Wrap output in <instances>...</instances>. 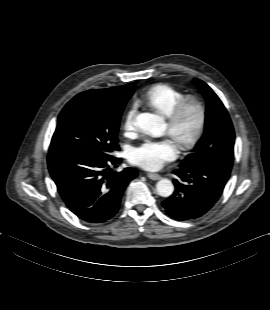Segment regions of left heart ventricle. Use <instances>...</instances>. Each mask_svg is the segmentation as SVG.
<instances>
[{
	"label": "left heart ventricle",
	"instance_id": "1",
	"mask_svg": "<svg viewBox=\"0 0 270 310\" xmlns=\"http://www.w3.org/2000/svg\"><path fill=\"white\" fill-rule=\"evenodd\" d=\"M194 122H195V117L192 113H189L185 119H184V122H183V125H184V129L186 131L190 130L193 125H194Z\"/></svg>",
	"mask_w": 270,
	"mask_h": 310
}]
</instances>
